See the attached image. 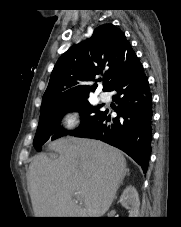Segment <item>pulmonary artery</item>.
I'll list each match as a JSON object with an SVG mask.
<instances>
[{"label":"pulmonary artery","mask_w":181,"mask_h":227,"mask_svg":"<svg viewBox=\"0 0 181 227\" xmlns=\"http://www.w3.org/2000/svg\"><path fill=\"white\" fill-rule=\"evenodd\" d=\"M100 99L103 101V102H109L110 101V95L108 93H101L100 94Z\"/></svg>","instance_id":"pulmonary-artery-1"}]
</instances>
